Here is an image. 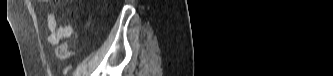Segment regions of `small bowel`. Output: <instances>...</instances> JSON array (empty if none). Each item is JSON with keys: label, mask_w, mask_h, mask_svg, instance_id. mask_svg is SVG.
Segmentation results:
<instances>
[{"label": "small bowel", "mask_w": 333, "mask_h": 76, "mask_svg": "<svg viewBox=\"0 0 333 76\" xmlns=\"http://www.w3.org/2000/svg\"><path fill=\"white\" fill-rule=\"evenodd\" d=\"M48 29V41L52 45L59 44L60 41L70 38L73 34V28L71 26H59L56 16L53 13L48 17Z\"/></svg>", "instance_id": "small-bowel-1"}]
</instances>
